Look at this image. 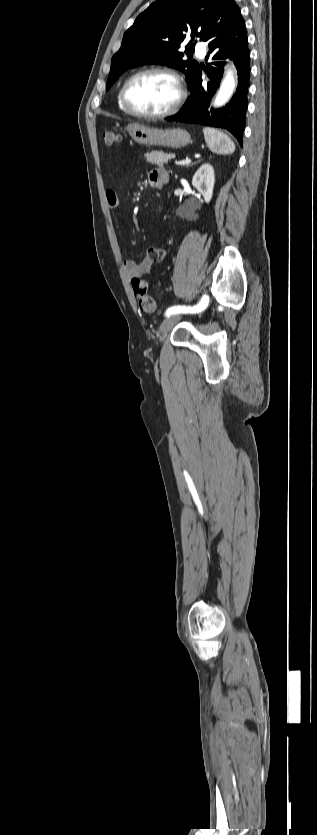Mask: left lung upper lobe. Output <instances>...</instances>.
Masks as SVG:
<instances>
[{
    "instance_id": "5c2ea615",
    "label": "left lung upper lobe",
    "mask_w": 317,
    "mask_h": 835,
    "mask_svg": "<svg viewBox=\"0 0 317 835\" xmlns=\"http://www.w3.org/2000/svg\"><path fill=\"white\" fill-rule=\"evenodd\" d=\"M229 0H158L135 20L123 36L120 50L113 56L106 90L129 68L156 63L182 71L189 83L199 64L183 59L178 51L187 41L185 33L208 41L222 25ZM189 41L185 53L194 51Z\"/></svg>"
}]
</instances>
